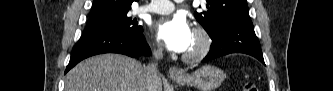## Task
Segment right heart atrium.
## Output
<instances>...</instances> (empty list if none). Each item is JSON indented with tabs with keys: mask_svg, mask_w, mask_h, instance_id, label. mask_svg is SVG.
Segmentation results:
<instances>
[{
	"mask_svg": "<svg viewBox=\"0 0 333 91\" xmlns=\"http://www.w3.org/2000/svg\"><path fill=\"white\" fill-rule=\"evenodd\" d=\"M153 53L156 55V56H161L162 55V48L160 45L158 44H155L153 46Z\"/></svg>",
	"mask_w": 333,
	"mask_h": 91,
	"instance_id": "d8ad5b80",
	"label": "right heart atrium"
}]
</instances>
